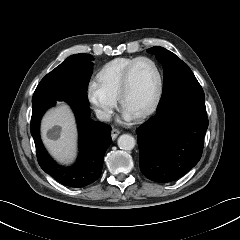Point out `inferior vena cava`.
<instances>
[{
  "label": "inferior vena cava",
  "instance_id": "1",
  "mask_svg": "<svg viewBox=\"0 0 240 240\" xmlns=\"http://www.w3.org/2000/svg\"><path fill=\"white\" fill-rule=\"evenodd\" d=\"M95 113H96V117L102 121H109L111 118V115L108 112L100 109H97Z\"/></svg>",
  "mask_w": 240,
  "mask_h": 240
}]
</instances>
